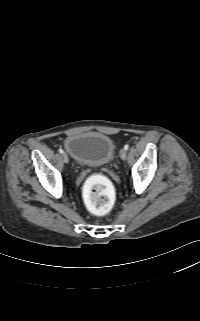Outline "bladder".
Returning a JSON list of instances; mask_svg holds the SVG:
<instances>
[{"label":"bladder","instance_id":"31cf9c89","mask_svg":"<svg viewBox=\"0 0 200 321\" xmlns=\"http://www.w3.org/2000/svg\"><path fill=\"white\" fill-rule=\"evenodd\" d=\"M64 147L77 163L87 166L105 165L115 153L113 140L108 135L95 131L69 135Z\"/></svg>","mask_w":200,"mask_h":321}]
</instances>
